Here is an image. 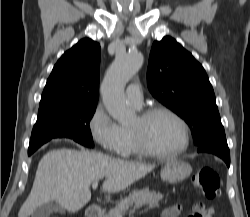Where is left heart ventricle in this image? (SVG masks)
Here are the masks:
<instances>
[{"label": "left heart ventricle", "instance_id": "b2bd125f", "mask_svg": "<svg viewBox=\"0 0 250 217\" xmlns=\"http://www.w3.org/2000/svg\"><path fill=\"white\" fill-rule=\"evenodd\" d=\"M132 129L141 131L148 143L159 152L174 151L183 142L181 126L174 118L165 113H157L144 123L138 117L132 125Z\"/></svg>", "mask_w": 250, "mask_h": 217}]
</instances>
